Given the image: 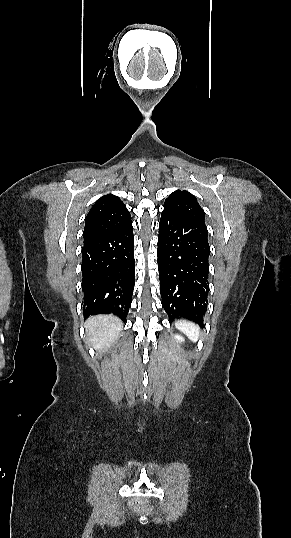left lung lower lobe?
I'll list each match as a JSON object with an SVG mask.
<instances>
[{
  "label": "left lung lower lobe",
  "mask_w": 291,
  "mask_h": 538,
  "mask_svg": "<svg viewBox=\"0 0 291 538\" xmlns=\"http://www.w3.org/2000/svg\"><path fill=\"white\" fill-rule=\"evenodd\" d=\"M209 253L205 224L162 211L158 270L162 306L170 320L186 318L203 325L209 292Z\"/></svg>",
  "instance_id": "1"
}]
</instances>
